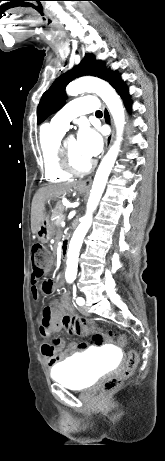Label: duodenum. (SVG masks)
Instances as JSON below:
<instances>
[{"label": "duodenum", "instance_id": "410a0bca", "mask_svg": "<svg viewBox=\"0 0 165 461\" xmlns=\"http://www.w3.org/2000/svg\"><path fill=\"white\" fill-rule=\"evenodd\" d=\"M67 242V238L64 240V244Z\"/></svg>", "mask_w": 165, "mask_h": 461}]
</instances>
